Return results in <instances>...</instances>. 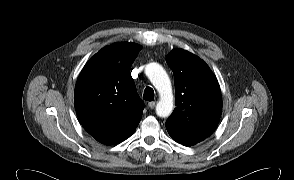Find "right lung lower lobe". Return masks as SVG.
Here are the masks:
<instances>
[{
    "label": "right lung lower lobe",
    "mask_w": 294,
    "mask_h": 180,
    "mask_svg": "<svg viewBox=\"0 0 294 180\" xmlns=\"http://www.w3.org/2000/svg\"><path fill=\"white\" fill-rule=\"evenodd\" d=\"M135 129H136V128H135ZM135 129H134V130H135ZM134 130H132L131 132H129L128 134H126L120 142H122V141H124L125 139H127L128 137H130V136L132 135V133L134 132ZM120 142H118V143H120Z\"/></svg>",
    "instance_id": "98d812e1"
}]
</instances>
